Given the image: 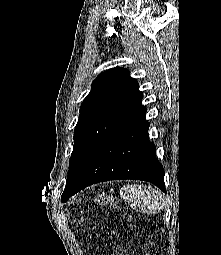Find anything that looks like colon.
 Masks as SVG:
<instances>
[{
  "label": "colon",
  "mask_w": 221,
  "mask_h": 255,
  "mask_svg": "<svg viewBox=\"0 0 221 255\" xmlns=\"http://www.w3.org/2000/svg\"><path fill=\"white\" fill-rule=\"evenodd\" d=\"M92 204L97 207L108 205L115 208L117 206V199L111 194L100 192L93 197Z\"/></svg>",
  "instance_id": "obj_1"
}]
</instances>
